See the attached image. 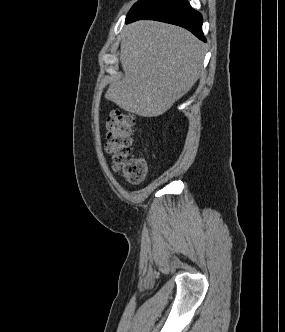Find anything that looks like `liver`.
Masks as SVG:
<instances>
[{"label": "liver", "mask_w": 285, "mask_h": 332, "mask_svg": "<svg viewBox=\"0 0 285 332\" xmlns=\"http://www.w3.org/2000/svg\"><path fill=\"white\" fill-rule=\"evenodd\" d=\"M204 44L189 31L157 21H137L122 31L121 80L112 82L105 98L142 117L169 110L198 80Z\"/></svg>", "instance_id": "liver-1"}]
</instances>
